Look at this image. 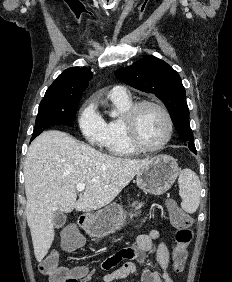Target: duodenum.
I'll return each mask as SVG.
<instances>
[{"instance_id": "410a0bca", "label": "duodenum", "mask_w": 232, "mask_h": 282, "mask_svg": "<svg viewBox=\"0 0 232 282\" xmlns=\"http://www.w3.org/2000/svg\"><path fill=\"white\" fill-rule=\"evenodd\" d=\"M86 223H87V218L81 217V218L79 219V224H80L81 226L86 225Z\"/></svg>"}]
</instances>
